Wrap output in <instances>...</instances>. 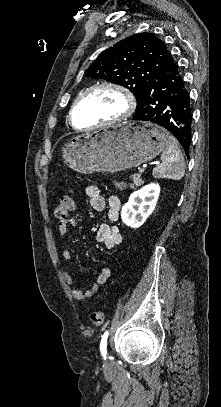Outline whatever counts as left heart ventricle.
<instances>
[{"label":"left heart ventricle","mask_w":221,"mask_h":407,"mask_svg":"<svg viewBox=\"0 0 221 407\" xmlns=\"http://www.w3.org/2000/svg\"><path fill=\"white\" fill-rule=\"evenodd\" d=\"M126 109L121 93L112 89H100L89 94L79 105L75 114V124L84 128L120 116Z\"/></svg>","instance_id":"obj_1"}]
</instances>
